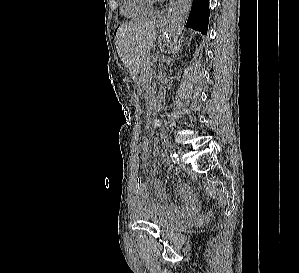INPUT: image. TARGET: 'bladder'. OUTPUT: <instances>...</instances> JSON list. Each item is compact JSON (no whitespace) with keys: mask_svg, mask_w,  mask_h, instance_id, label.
<instances>
[{"mask_svg":"<svg viewBox=\"0 0 299 273\" xmlns=\"http://www.w3.org/2000/svg\"><path fill=\"white\" fill-rule=\"evenodd\" d=\"M135 219L140 222L156 225L159 228H166L172 225L174 222V219L164 217L163 215L156 212L153 208L136 210Z\"/></svg>","mask_w":299,"mask_h":273,"instance_id":"31cf9c89","label":"bladder"}]
</instances>
